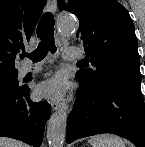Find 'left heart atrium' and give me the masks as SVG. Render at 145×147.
I'll return each instance as SVG.
<instances>
[{
	"label": "left heart atrium",
	"instance_id": "39dd6f15",
	"mask_svg": "<svg viewBox=\"0 0 145 147\" xmlns=\"http://www.w3.org/2000/svg\"><path fill=\"white\" fill-rule=\"evenodd\" d=\"M65 91V81L60 76H55L39 84L35 90V95L37 98L58 100L64 96Z\"/></svg>",
	"mask_w": 145,
	"mask_h": 147
}]
</instances>
